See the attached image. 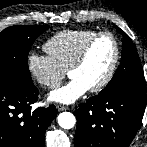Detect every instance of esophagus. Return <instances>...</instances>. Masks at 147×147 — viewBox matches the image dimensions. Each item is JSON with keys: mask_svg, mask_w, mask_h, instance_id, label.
Masks as SVG:
<instances>
[{"mask_svg": "<svg viewBox=\"0 0 147 147\" xmlns=\"http://www.w3.org/2000/svg\"><path fill=\"white\" fill-rule=\"evenodd\" d=\"M57 109H58L59 111H65V110H68L69 107L64 106V105H61V104H58V105H57Z\"/></svg>", "mask_w": 147, "mask_h": 147, "instance_id": "34e87169", "label": "esophagus"}]
</instances>
